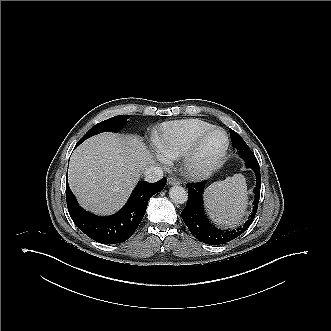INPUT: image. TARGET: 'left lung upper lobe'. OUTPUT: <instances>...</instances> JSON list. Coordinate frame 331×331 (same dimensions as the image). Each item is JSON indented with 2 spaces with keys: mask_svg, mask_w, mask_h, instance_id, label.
I'll return each instance as SVG.
<instances>
[{
  "mask_svg": "<svg viewBox=\"0 0 331 331\" xmlns=\"http://www.w3.org/2000/svg\"><path fill=\"white\" fill-rule=\"evenodd\" d=\"M230 136L236 137V138L242 140L243 143H242V147L239 149V154L245 160V162L251 163V164H258V161H257L254 153L250 150V148L245 143V141L240 137V135L237 134L235 131L230 130Z\"/></svg>",
  "mask_w": 331,
  "mask_h": 331,
  "instance_id": "1",
  "label": "left lung upper lobe"
}]
</instances>
